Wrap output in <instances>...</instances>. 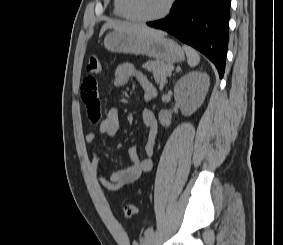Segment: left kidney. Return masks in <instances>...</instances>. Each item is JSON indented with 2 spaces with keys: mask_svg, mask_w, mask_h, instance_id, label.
<instances>
[{
  "mask_svg": "<svg viewBox=\"0 0 283 245\" xmlns=\"http://www.w3.org/2000/svg\"><path fill=\"white\" fill-rule=\"evenodd\" d=\"M210 85L207 73L192 71L179 79L174 87V97L185 116L193 114L203 103ZM172 113L167 110L159 112L162 126L171 124Z\"/></svg>",
  "mask_w": 283,
  "mask_h": 245,
  "instance_id": "left-kidney-1",
  "label": "left kidney"
}]
</instances>
